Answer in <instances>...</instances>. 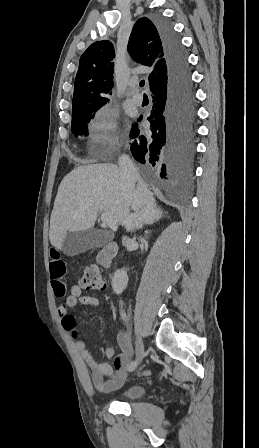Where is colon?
Listing matches in <instances>:
<instances>
[{"mask_svg":"<svg viewBox=\"0 0 259 448\" xmlns=\"http://www.w3.org/2000/svg\"><path fill=\"white\" fill-rule=\"evenodd\" d=\"M78 286L87 291H104L107 282L105 277L96 267H88L80 277Z\"/></svg>","mask_w":259,"mask_h":448,"instance_id":"1","label":"colon"}]
</instances>
